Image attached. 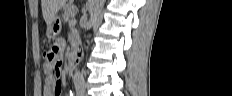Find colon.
<instances>
[{
  "mask_svg": "<svg viewBox=\"0 0 232 96\" xmlns=\"http://www.w3.org/2000/svg\"><path fill=\"white\" fill-rule=\"evenodd\" d=\"M46 58L50 64V72L53 76L58 77L62 68L61 50L58 46H54L46 53Z\"/></svg>",
  "mask_w": 232,
  "mask_h": 96,
  "instance_id": "1",
  "label": "colon"
}]
</instances>
